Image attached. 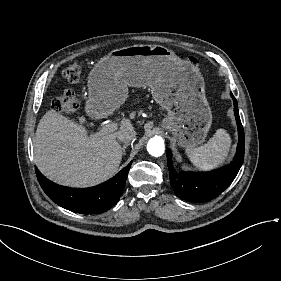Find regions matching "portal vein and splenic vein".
I'll return each mask as SVG.
<instances>
[{
  "label": "portal vein and splenic vein",
  "mask_w": 281,
  "mask_h": 281,
  "mask_svg": "<svg viewBox=\"0 0 281 281\" xmlns=\"http://www.w3.org/2000/svg\"><path fill=\"white\" fill-rule=\"evenodd\" d=\"M121 123L120 122H111V123H107L104 127H99L98 128V135L99 136H106L107 134H113L114 131H120L121 130Z\"/></svg>",
  "instance_id": "18ae733b"
}]
</instances>
